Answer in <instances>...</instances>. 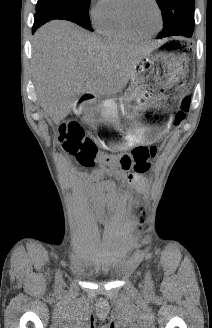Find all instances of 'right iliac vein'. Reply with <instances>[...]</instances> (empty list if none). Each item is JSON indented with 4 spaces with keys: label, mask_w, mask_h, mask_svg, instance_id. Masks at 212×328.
Returning <instances> with one entry per match:
<instances>
[{
    "label": "right iliac vein",
    "mask_w": 212,
    "mask_h": 328,
    "mask_svg": "<svg viewBox=\"0 0 212 328\" xmlns=\"http://www.w3.org/2000/svg\"><path fill=\"white\" fill-rule=\"evenodd\" d=\"M59 284H62V278L60 277V279H59Z\"/></svg>",
    "instance_id": "63e3f726"
}]
</instances>
